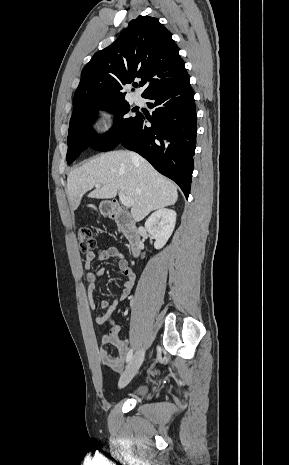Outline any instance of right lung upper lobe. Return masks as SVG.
Here are the masks:
<instances>
[{
    "instance_id": "cb5924a9",
    "label": "right lung upper lobe",
    "mask_w": 289,
    "mask_h": 465,
    "mask_svg": "<svg viewBox=\"0 0 289 465\" xmlns=\"http://www.w3.org/2000/svg\"><path fill=\"white\" fill-rule=\"evenodd\" d=\"M135 78L146 85L144 98L189 80L178 46L157 18L139 16L112 45L94 54L82 70L70 125L83 103L125 99L124 86Z\"/></svg>"
}]
</instances>
